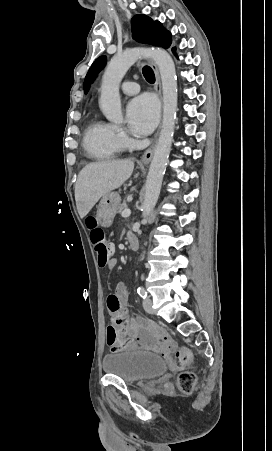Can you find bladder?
<instances>
[{
  "label": "bladder",
  "instance_id": "1",
  "mask_svg": "<svg viewBox=\"0 0 272 451\" xmlns=\"http://www.w3.org/2000/svg\"><path fill=\"white\" fill-rule=\"evenodd\" d=\"M103 367L106 374L119 376L124 382L133 383L163 375L168 363L159 354L121 349L108 352L104 356Z\"/></svg>",
  "mask_w": 272,
  "mask_h": 451
}]
</instances>
